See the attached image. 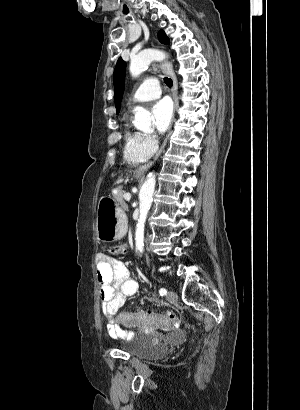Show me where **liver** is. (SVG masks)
<instances>
[{
  "mask_svg": "<svg viewBox=\"0 0 300 410\" xmlns=\"http://www.w3.org/2000/svg\"><path fill=\"white\" fill-rule=\"evenodd\" d=\"M123 181V179H120V180H118V183H120V182H122Z\"/></svg>",
  "mask_w": 300,
  "mask_h": 410,
  "instance_id": "liver-1",
  "label": "liver"
}]
</instances>
